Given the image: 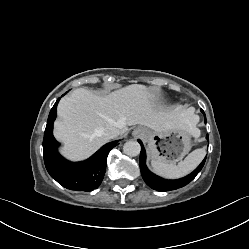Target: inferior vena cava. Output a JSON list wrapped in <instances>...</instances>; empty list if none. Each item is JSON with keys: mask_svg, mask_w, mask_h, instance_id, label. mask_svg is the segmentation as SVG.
<instances>
[{"mask_svg": "<svg viewBox=\"0 0 249 249\" xmlns=\"http://www.w3.org/2000/svg\"><path fill=\"white\" fill-rule=\"evenodd\" d=\"M103 135L106 139H114L120 135V130L116 127H107L103 131Z\"/></svg>", "mask_w": 249, "mask_h": 249, "instance_id": "1", "label": "inferior vena cava"}]
</instances>
